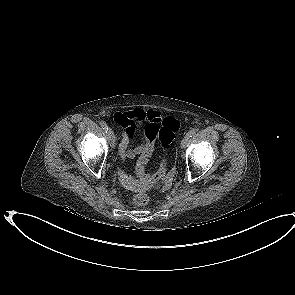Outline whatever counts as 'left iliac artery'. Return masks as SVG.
<instances>
[{"mask_svg":"<svg viewBox=\"0 0 295 295\" xmlns=\"http://www.w3.org/2000/svg\"><path fill=\"white\" fill-rule=\"evenodd\" d=\"M195 133H196V129H193V130L189 131V132L187 133V135H188L189 137H192V136H194Z\"/></svg>","mask_w":295,"mask_h":295,"instance_id":"left-iliac-artery-1","label":"left iliac artery"}]
</instances>
